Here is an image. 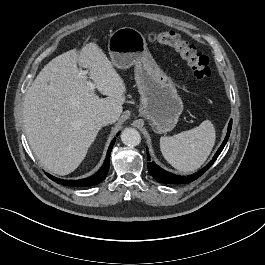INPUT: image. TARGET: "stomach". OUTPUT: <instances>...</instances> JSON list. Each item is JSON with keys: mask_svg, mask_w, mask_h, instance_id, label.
Masks as SVG:
<instances>
[{"mask_svg": "<svg viewBox=\"0 0 265 265\" xmlns=\"http://www.w3.org/2000/svg\"><path fill=\"white\" fill-rule=\"evenodd\" d=\"M108 51L118 69L135 66L140 116L149 120L156 133L171 131L183 111V103L171 78L153 59L142 33L131 27L117 29L109 37Z\"/></svg>", "mask_w": 265, "mask_h": 265, "instance_id": "0dacf381", "label": "stomach"}]
</instances>
